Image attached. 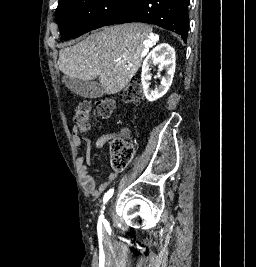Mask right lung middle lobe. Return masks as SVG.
<instances>
[{
  "instance_id": "right-lung-middle-lobe-1",
  "label": "right lung middle lobe",
  "mask_w": 256,
  "mask_h": 267,
  "mask_svg": "<svg viewBox=\"0 0 256 267\" xmlns=\"http://www.w3.org/2000/svg\"><path fill=\"white\" fill-rule=\"evenodd\" d=\"M138 0H59L56 21L63 40L103 27L120 15L129 14Z\"/></svg>"
}]
</instances>
